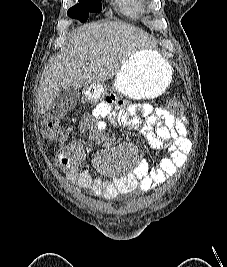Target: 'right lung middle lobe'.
<instances>
[{
  "label": "right lung middle lobe",
  "mask_w": 227,
  "mask_h": 267,
  "mask_svg": "<svg viewBox=\"0 0 227 267\" xmlns=\"http://www.w3.org/2000/svg\"><path fill=\"white\" fill-rule=\"evenodd\" d=\"M102 9L101 0H79V3L68 10V16L85 22L89 13H97Z\"/></svg>",
  "instance_id": "dd1d6c3e"
}]
</instances>
